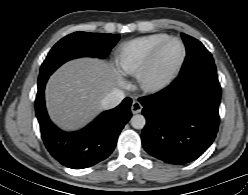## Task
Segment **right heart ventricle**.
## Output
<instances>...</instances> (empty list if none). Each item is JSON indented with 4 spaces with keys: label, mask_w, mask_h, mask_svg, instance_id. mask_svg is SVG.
I'll return each instance as SVG.
<instances>
[{
    "label": "right heart ventricle",
    "mask_w": 248,
    "mask_h": 195,
    "mask_svg": "<svg viewBox=\"0 0 248 195\" xmlns=\"http://www.w3.org/2000/svg\"><path fill=\"white\" fill-rule=\"evenodd\" d=\"M168 37L166 33H155L123 44L116 56L118 70L125 75H137L147 65L155 49Z\"/></svg>",
    "instance_id": "obj_1"
}]
</instances>
